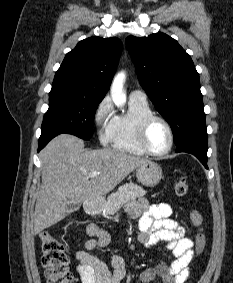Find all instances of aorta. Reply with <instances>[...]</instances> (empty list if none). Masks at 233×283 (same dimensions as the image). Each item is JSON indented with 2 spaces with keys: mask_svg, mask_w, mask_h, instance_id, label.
Listing matches in <instances>:
<instances>
[{
  "mask_svg": "<svg viewBox=\"0 0 233 283\" xmlns=\"http://www.w3.org/2000/svg\"><path fill=\"white\" fill-rule=\"evenodd\" d=\"M125 78V73L120 72L114 77L111 85V97L118 107L124 105L126 102V95L123 92Z\"/></svg>",
  "mask_w": 233,
  "mask_h": 283,
  "instance_id": "762f6f07",
  "label": "aorta"
}]
</instances>
